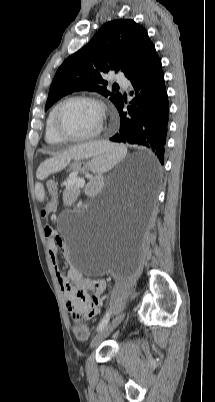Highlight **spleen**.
I'll return each mask as SVG.
<instances>
[{
	"instance_id": "3e777b00",
	"label": "spleen",
	"mask_w": 215,
	"mask_h": 402,
	"mask_svg": "<svg viewBox=\"0 0 215 402\" xmlns=\"http://www.w3.org/2000/svg\"><path fill=\"white\" fill-rule=\"evenodd\" d=\"M126 151L125 147L116 146L107 141L81 144L70 149L61 157L46 160L38 168L37 176L40 179H44L49 174L63 169L72 158L82 159L90 156H93V159L88 163V166L93 173L99 174V172H104L111 168L118 158L126 154ZM43 191L44 186H39L38 195H43Z\"/></svg>"
}]
</instances>
